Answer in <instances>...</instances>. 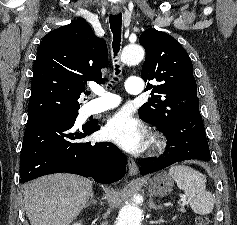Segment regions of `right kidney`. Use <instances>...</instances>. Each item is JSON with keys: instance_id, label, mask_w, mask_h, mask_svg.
Returning <instances> with one entry per match:
<instances>
[{"instance_id": "obj_1", "label": "right kidney", "mask_w": 237, "mask_h": 225, "mask_svg": "<svg viewBox=\"0 0 237 225\" xmlns=\"http://www.w3.org/2000/svg\"><path fill=\"white\" fill-rule=\"evenodd\" d=\"M72 225H82V224H81V223H77V222H76V223H74V224H72Z\"/></svg>"}]
</instances>
